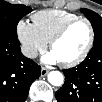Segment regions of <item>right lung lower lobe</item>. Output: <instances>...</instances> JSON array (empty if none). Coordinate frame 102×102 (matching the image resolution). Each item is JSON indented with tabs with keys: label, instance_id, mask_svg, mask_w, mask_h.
I'll list each match as a JSON object with an SVG mask.
<instances>
[{
	"label": "right lung lower lobe",
	"instance_id": "1",
	"mask_svg": "<svg viewBox=\"0 0 102 102\" xmlns=\"http://www.w3.org/2000/svg\"><path fill=\"white\" fill-rule=\"evenodd\" d=\"M41 67L26 58L18 38L0 37V101L24 102Z\"/></svg>",
	"mask_w": 102,
	"mask_h": 102
}]
</instances>
